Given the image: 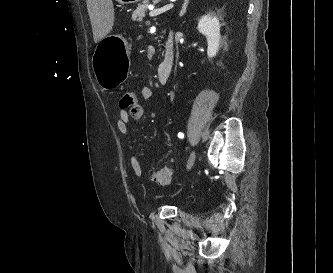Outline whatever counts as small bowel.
I'll use <instances>...</instances> for the list:
<instances>
[{"instance_id": "obj_1", "label": "small bowel", "mask_w": 333, "mask_h": 273, "mask_svg": "<svg viewBox=\"0 0 333 273\" xmlns=\"http://www.w3.org/2000/svg\"><path fill=\"white\" fill-rule=\"evenodd\" d=\"M140 94L144 100H150L153 96V91L150 87L144 86L141 88ZM143 115H144V107L138 102H135L133 104L132 109H120L118 113V118L116 120L117 130L121 134L126 135L128 133V127H127L128 122L130 120H140L143 117ZM128 149L130 152L129 153L130 168L137 177H141L143 175V169L141 167V164L137 156L133 151V146L129 144Z\"/></svg>"}]
</instances>
